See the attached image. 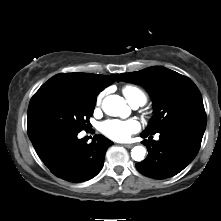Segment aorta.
<instances>
[{"instance_id":"obj_1","label":"aorta","mask_w":221,"mask_h":221,"mask_svg":"<svg viewBox=\"0 0 221 221\" xmlns=\"http://www.w3.org/2000/svg\"><path fill=\"white\" fill-rule=\"evenodd\" d=\"M126 108L125 100L118 95L107 96L102 103L103 111L110 116H119ZM146 149L143 146H135L131 150V157L135 161L144 160Z\"/></svg>"}]
</instances>
